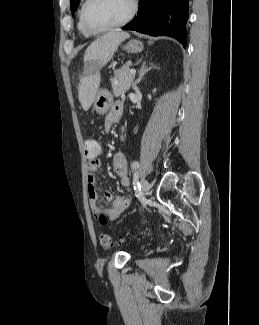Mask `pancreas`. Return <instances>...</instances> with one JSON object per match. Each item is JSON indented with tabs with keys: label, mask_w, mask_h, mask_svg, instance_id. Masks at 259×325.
I'll list each match as a JSON object with an SVG mask.
<instances>
[{
	"label": "pancreas",
	"mask_w": 259,
	"mask_h": 325,
	"mask_svg": "<svg viewBox=\"0 0 259 325\" xmlns=\"http://www.w3.org/2000/svg\"><path fill=\"white\" fill-rule=\"evenodd\" d=\"M135 74L130 73V64L123 65L115 72L114 78L111 79V86L114 96L118 97L126 93L133 83Z\"/></svg>",
	"instance_id": "1"
}]
</instances>
